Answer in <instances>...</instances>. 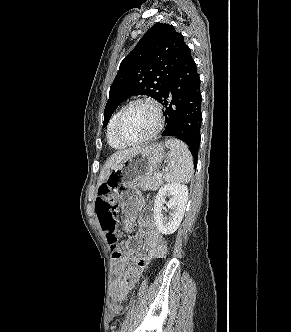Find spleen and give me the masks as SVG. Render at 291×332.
<instances>
[{
  "label": "spleen",
  "mask_w": 291,
  "mask_h": 332,
  "mask_svg": "<svg viewBox=\"0 0 291 332\" xmlns=\"http://www.w3.org/2000/svg\"><path fill=\"white\" fill-rule=\"evenodd\" d=\"M165 146L170 151L167 154L168 168L164 180L171 183L189 182L194 173V164L187 145L176 138H171L165 141Z\"/></svg>",
  "instance_id": "obj_1"
}]
</instances>
